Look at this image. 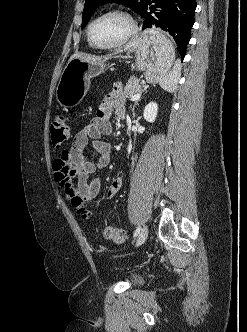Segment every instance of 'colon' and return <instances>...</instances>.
Instances as JSON below:
<instances>
[{"mask_svg":"<svg viewBox=\"0 0 247 332\" xmlns=\"http://www.w3.org/2000/svg\"><path fill=\"white\" fill-rule=\"evenodd\" d=\"M71 127L68 120L63 116L54 119L51 125V140L55 148H61L69 139ZM100 234L107 240L122 244L127 241L128 234L122 229L103 227L99 230Z\"/></svg>","mask_w":247,"mask_h":332,"instance_id":"1","label":"colon"}]
</instances>
